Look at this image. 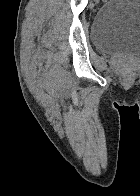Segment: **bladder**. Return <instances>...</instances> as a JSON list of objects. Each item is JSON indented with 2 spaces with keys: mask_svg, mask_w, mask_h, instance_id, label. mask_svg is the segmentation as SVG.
I'll return each instance as SVG.
<instances>
[{
  "mask_svg": "<svg viewBox=\"0 0 140 196\" xmlns=\"http://www.w3.org/2000/svg\"><path fill=\"white\" fill-rule=\"evenodd\" d=\"M92 43L102 52L140 55V0H108L95 14Z\"/></svg>",
  "mask_w": 140,
  "mask_h": 196,
  "instance_id": "obj_1",
  "label": "bladder"
}]
</instances>
